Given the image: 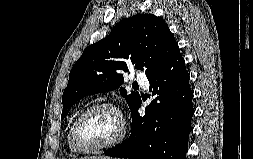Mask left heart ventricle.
Wrapping results in <instances>:
<instances>
[{
  "label": "left heart ventricle",
  "instance_id": "left-heart-ventricle-1",
  "mask_svg": "<svg viewBox=\"0 0 253 159\" xmlns=\"http://www.w3.org/2000/svg\"><path fill=\"white\" fill-rule=\"evenodd\" d=\"M120 129L116 113L99 109L90 113L80 128V141L84 146L94 147L112 140Z\"/></svg>",
  "mask_w": 253,
  "mask_h": 159
}]
</instances>
